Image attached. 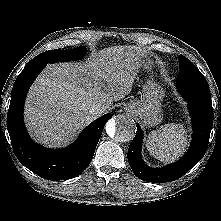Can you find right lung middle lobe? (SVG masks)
Listing matches in <instances>:
<instances>
[{
    "instance_id": "dd1d6c3e",
    "label": "right lung middle lobe",
    "mask_w": 221,
    "mask_h": 221,
    "mask_svg": "<svg viewBox=\"0 0 221 221\" xmlns=\"http://www.w3.org/2000/svg\"><path fill=\"white\" fill-rule=\"evenodd\" d=\"M87 50L85 47H77L70 50H50L43 52L33 58L28 64L37 63H56L61 61L77 60L82 58L86 54Z\"/></svg>"
}]
</instances>
